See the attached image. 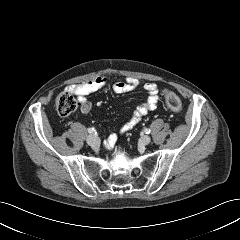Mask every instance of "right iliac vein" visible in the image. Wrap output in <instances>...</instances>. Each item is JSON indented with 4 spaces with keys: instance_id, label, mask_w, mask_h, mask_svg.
<instances>
[{
    "instance_id": "1",
    "label": "right iliac vein",
    "mask_w": 240,
    "mask_h": 240,
    "mask_svg": "<svg viewBox=\"0 0 240 240\" xmlns=\"http://www.w3.org/2000/svg\"><path fill=\"white\" fill-rule=\"evenodd\" d=\"M86 141L92 147H95V146H97L100 143L99 138L97 136H95V135H89L86 138Z\"/></svg>"
}]
</instances>
